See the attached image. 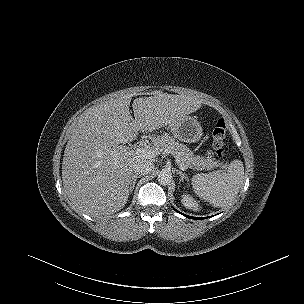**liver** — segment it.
I'll return each instance as SVG.
<instances>
[{
    "mask_svg": "<svg viewBox=\"0 0 304 304\" xmlns=\"http://www.w3.org/2000/svg\"><path fill=\"white\" fill-rule=\"evenodd\" d=\"M124 95L88 108L67 142L62 162L65 192L74 207L97 217L121 210L128 201L133 164L147 159L124 144L138 132H152L197 111L191 95L158 94L133 101Z\"/></svg>",
    "mask_w": 304,
    "mask_h": 304,
    "instance_id": "1",
    "label": "liver"
}]
</instances>
